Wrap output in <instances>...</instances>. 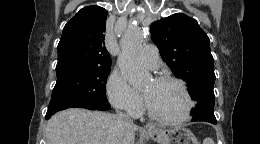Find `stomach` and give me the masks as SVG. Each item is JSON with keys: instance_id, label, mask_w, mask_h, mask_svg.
<instances>
[{"instance_id": "obj_1", "label": "stomach", "mask_w": 260, "mask_h": 144, "mask_svg": "<svg viewBox=\"0 0 260 144\" xmlns=\"http://www.w3.org/2000/svg\"><path fill=\"white\" fill-rule=\"evenodd\" d=\"M148 135L157 144H199L195 135L184 127L150 129Z\"/></svg>"}]
</instances>
